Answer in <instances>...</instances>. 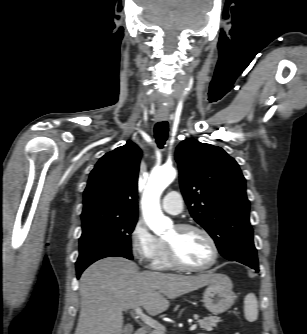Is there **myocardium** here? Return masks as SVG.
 Here are the masks:
<instances>
[{
	"instance_id": "1",
	"label": "myocardium",
	"mask_w": 307,
	"mask_h": 334,
	"mask_svg": "<svg viewBox=\"0 0 307 334\" xmlns=\"http://www.w3.org/2000/svg\"><path fill=\"white\" fill-rule=\"evenodd\" d=\"M175 227L181 231L196 230L200 232L201 234H203L211 246L212 257L210 261L204 265H201V266L188 265L180 259L175 248L170 243L165 241L164 243H165L167 255L173 267H176L183 271L199 272V271L207 270L211 268L213 265H215L219 257V248H218V245L215 239L213 238V236L210 234V232L207 229H205L204 227L198 224H194V223H180V224H177Z\"/></svg>"
}]
</instances>
